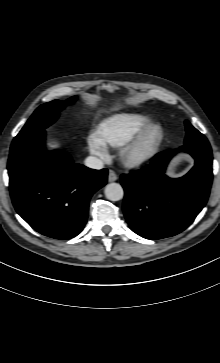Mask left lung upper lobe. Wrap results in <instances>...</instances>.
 I'll list each match as a JSON object with an SVG mask.
<instances>
[{
  "label": "left lung upper lobe",
  "instance_id": "left-lung-upper-lobe-1",
  "mask_svg": "<svg viewBox=\"0 0 220 363\" xmlns=\"http://www.w3.org/2000/svg\"><path fill=\"white\" fill-rule=\"evenodd\" d=\"M186 125V138H185V145L187 144H200V145H209L208 140L206 137L196 130L188 121H185Z\"/></svg>",
  "mask_w": 220,
  "mask_h": 363
}]
</instances>
